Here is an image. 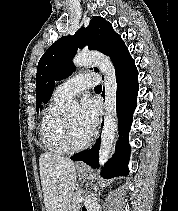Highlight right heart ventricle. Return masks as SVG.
<instances>
[{
	"label": "right heart ventricle",
	"mask_w": 178,
	"mask_h": 211,
	"mask_svg": "<svg viewBox=\"0 0 178 211\" xmlns=\"http://www.w3.org/2000/svg\"><path fill=\"white\" fill-rule=\"evenodd\" d=\"M66 100L53 95L45 109L40 124V135L46 150L52 154H64L69 150L64 146L62 140V122L64 115L62 106Z\"/></svg>",
	"instance_id": "e07e8e85"
}]
</instances>
